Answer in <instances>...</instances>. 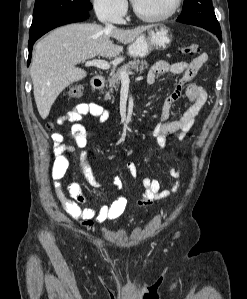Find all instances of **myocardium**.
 I'll return each mask as SVG.
<instances>
[{
	"instance_id": "obj_1",
	"label": "myocardium",
	"mask_w": 247,
	"mask_h": 299,
	"mask_svg": "<svg viewBox=\"0 0 247 299\" xmlns=\"http://www.w3.org/2000/svg\"><path fill=\"white\" fill-rule=\"evenodd\" d=\"M181 1L182 0H173L171 3L170 8L162 13V14H158V15H147L142 13L135 5L134 1L132 2V9L134 14L141 20L146 21V22H161L164 20L169 19L170 17H172L176 11L179 9L180 5H181Z\"/></svg>"
}]
</instances>
